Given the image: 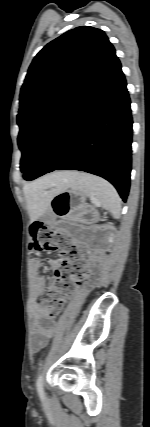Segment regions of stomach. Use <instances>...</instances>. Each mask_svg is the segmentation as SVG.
<instances>
[{"mask_svg":"<svg viewBox=\"0 0 150 427\" xmlns=\"http://www.w3.org/2000/svg\"><path fill=\"white\" fill-rule=\"evenodd\" d=\"M88 207L83 192L71 186L57 192L50 203V208L57 217L73 221L81 220Z\"/></svg>","mask_w":150,"mask_h":427,"instance_id":"stomach-1","label":"stomach"}]
</instances>
